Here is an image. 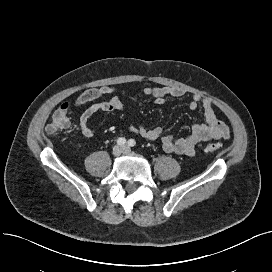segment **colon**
<instances>
[{"label":"colon","instance_id":"colon-1","mask_svg":"<svg viewBox=\"0 0 272 272\" xmlns=\"http://www.w3.org/2000/svg\"><path fill=\"white\" fill-rule=\"evenodd\" d=\"M69 108L67 106L60 107L51 116L46 131L49 134H55L57 132L66 130L70 126V120L68 118ZM206 152H214L217 149V145L210 143L203 147Z\"/></svg>","mask_w":272,"mask_h":272}]
</instances>
